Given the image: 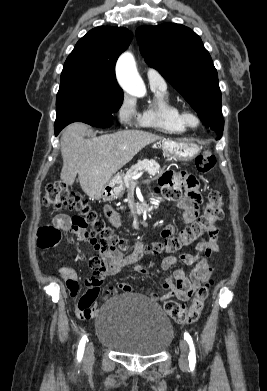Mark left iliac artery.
I'll list each match as a JSON object with an SVG mask.
<instances>
[{"label": "left iliac artery", "mask_w": 267, "mask_h": 391, "mask_svg": "<svg viewBox=\"0 0 267 391\" xmlns=\"http://www.w3.org/2000/svg\"><path fill=\"white\" fill-rule=\"evenodd\" d=\"M184 338L186 339V341L188 342V344L190 346V350L191 351H190V354H189V366L193 370L194 367H195V363H196L195 349H194L193 340H192L191 336L187 332L184 333Z\"/></svg>", "instance_id": "1"}]
</instances>
